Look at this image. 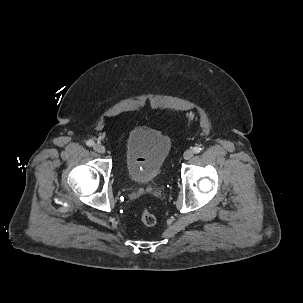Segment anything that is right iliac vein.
Wrapping results in <instances>:
<instances>
[{"instance_id": "right-iliac-vein-1", "label": "right iliac vein", "mask_w": 303, "mask_h": 303, "mask_svg": "<svg viewBox=\"0 0 303 303\" xmlns=\"http://www.w3.org/2000/svg\"><path fill=\"white\" fill-rule=\"evenodd\" d=\"M94 150L98 153H105V147L100 143L94 145Z\"/></svg>"}]
</instances>
